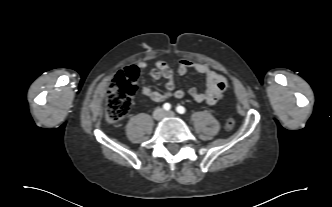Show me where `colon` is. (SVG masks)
<instances>
[{"label": "colon", "mask_w": 332, "mask_h": 207, "mask_svg": "<svg viewBox=\"0 0 332 207\" xmlns=\"http://www.w3.org/2000/svg\"><path fill=\"white\" fill-rule=\"evenodd\" d=\"M138 70L131 66L117 72L110 85L107 99L105 118L110 123H117L123 119L131 105L132 99L138 89ZM235 121L227 119L225 128L232 130Z\"/></svg>", "instance_id": "1"}]
</instances>
